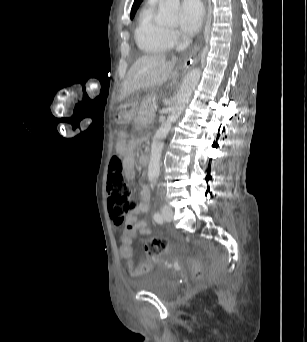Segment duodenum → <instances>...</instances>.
<instances>
[{"mask_svg": "<svg viewBox=\"0 0 307 342\" xmlns=\"http://www.w3.org/2000/svg\"><path fill=\"white\" fill-rule=\"evenodd\" d=\"M140 162H141L142 165H147L149 163L148 155H142L140 157Z\"/></svg>", "mask_w": 307, "mask_h": 342, "instance_id": "duodenum-1", "label": "duodenum"}]
</instances>
